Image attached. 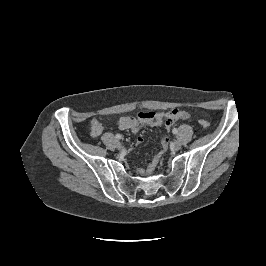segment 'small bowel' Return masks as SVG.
Masks as SVG:
<instances>
[{
    "label": "small bowel",
    "instance_id": "small-bowel-1",
    "mask_svg": "<svg viewBox=\"0 0 266 266\" xmlns=\"http://www.w3.org/2000/svg\"><path fill=\"white\" fill-rule=\"evenodd\" d=\"M189 118V113L182 109H173L166 113L160 111H147L140 112L135 116H123L118 121V128L120 130H129L133 133H137L139 129L144 125L163 126L168 132L170 128L180 120H186ZM90 132L93 137H99L103 132L102 123L93 119L90 124ZM141 141V139H139ZM169 144L168 136H165L161 140V145L166 148ZM160 154L154 156L149 170H153Z\"/></svg>",
    "mask_w": 266,
    "mask_h": 266
}]
</instances>
